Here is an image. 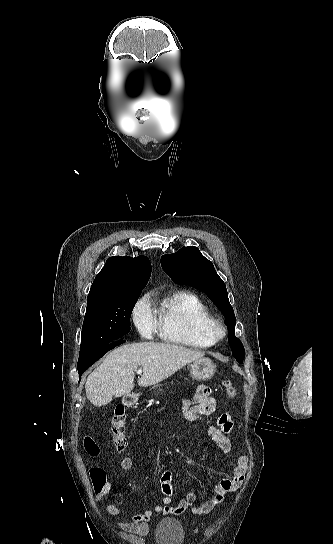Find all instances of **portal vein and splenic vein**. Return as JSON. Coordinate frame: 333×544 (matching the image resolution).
Instances as JSON below:
<instances>
[{"mask_svg":"<svg viewBox=\"0 0 333 544\" xmlns=\"http://www.w3.org/2000/svg\"><path fill=\"white\" fill-rule=\"evenodd\" d=\"M136 372H137V374H141V373H142V370H141V369H137Z\"/></svg>","mask_w":333,"mask_h":544,"instance_id":"obj_1","label":"portal vein and splenic vein"}]
</instances>
